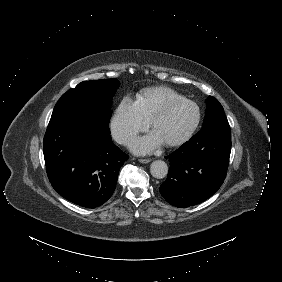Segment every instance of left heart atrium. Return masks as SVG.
<instances>
[{
	"mask_svg": "<svg viewBox=\"0 0 282 282\" xmlns=\"http://www.w3.org/2000/svg\"><path fill=\"white\" fill-rule=\"evenodd\" d=\"M161 141L159 135L156 132H153L149 136L137 140L133 144V147L139 151H149L156 147Z\"/></svg>",
	"mask_w": 282,
	"mask_h": 282,
	"instance_id": "1",
	"label": "left heart atrium"
}]
</instances>
